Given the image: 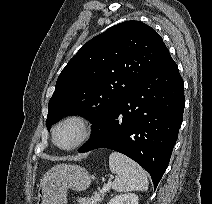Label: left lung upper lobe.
I'll use <instances>...</instances> for the list:
<instances>
[{
    "label": "left lung upper lobe",
    "instance_id": "5c2ea615",
    "mask_svg": "<svg viewBox=\"0 0 212 204\" xmlns=\"http://www.w3.org/2000/svg\"><path fill=\"white\" fill-rule=\"evenodd\" d=\"M169 53L148 25L125 21L85 43L58 77L49 101V130L65 115H82L92 133L108 111Z\"/></svg>",
    "mask_w": 212,
    "mask_h": 204
}]
</instances>
